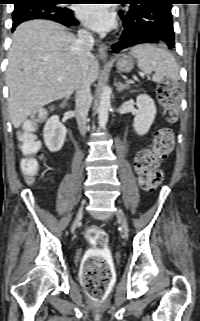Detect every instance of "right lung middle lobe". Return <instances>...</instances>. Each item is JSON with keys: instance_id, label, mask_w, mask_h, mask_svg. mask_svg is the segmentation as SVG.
Wrapping results in <instances>:
<instances>
[{"instance_id": "obj_1", "label": "right lung middle lobe", "mask_w": 200, "mask_h": 321, "mask_svg": "<svg viewBox=\"0 0 200 321\" xmlns=\"http://www.w3.org/2000/svg\"><path fill=\"white\" fill-rule=\"evenodd\" d=\"M51 1L53 4H55L56 6H60L59 4L68 1V0H49ZM61 7V6H60Z\"/></svg>"}]
</instances>
